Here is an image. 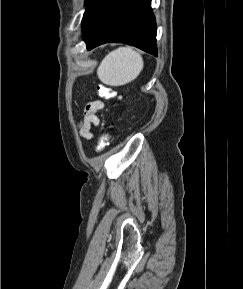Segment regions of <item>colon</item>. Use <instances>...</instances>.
<instances>
[{"instance_id":"obj_1","label":"colon","mask_w":243,"mask_h":289,"mask_svg":"<svg viewBox=\"0 0 243 289\" xmlns=\"http://www.w3.org/2000/svg\"><path fill=\"white\" fill-rule=\"evenodd\" d=\"M98 90V94L101 98L103 99H112L114 97H116V92L113 88L108 87V86H104V85H99L97 87ZM109 142V134L108 133H103L99 139L98 145L96 150L98 152H101L105 149V147L107 146Z\"/></svg>"}]
</instances>
